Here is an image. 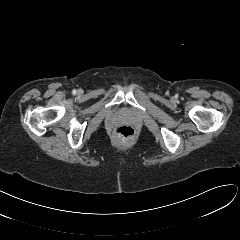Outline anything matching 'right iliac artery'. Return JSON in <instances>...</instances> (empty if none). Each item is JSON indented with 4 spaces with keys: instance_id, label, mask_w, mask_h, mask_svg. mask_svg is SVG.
<instances>
[{
    "instance_id": "obj_1",
    "label": "right iliac artery",
    "mask_w": 240,
    "mask_h": 240,
    "mask_svg": "<svg viewBox=\"0 0 240 240\" xmlns=\"http://www.w3.org/2000/svg\"><path fill=\"white\" fill-rule=\"evenodd\" d=\"M72 93H73V94H76V90L74 89V90L72 91Z\"/></svg>"
}]
</instances>
